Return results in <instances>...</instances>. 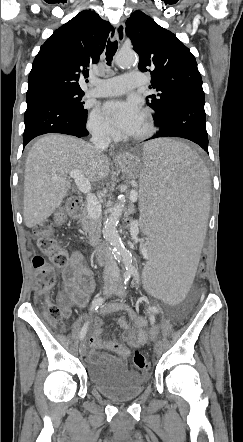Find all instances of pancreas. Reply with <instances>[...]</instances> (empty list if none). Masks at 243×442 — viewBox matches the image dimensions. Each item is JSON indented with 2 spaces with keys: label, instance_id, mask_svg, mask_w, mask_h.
Returning a JSON list of instances; mask_svg holds the SVG:
<instances>
[{
  "label": "pancreas",
  "instance_id": "obj_1",
  "mask_svg": "<svg viewBox=\"0 0 243 442\" xmlns=\"http://www.w3.org/2000/svg\"><path fill=\"white\" fill-rule=\"evenodd\" d=\"M80 223L82 225V229L88 234L91 244L95 245L96 235L98 234L101 226L100 219L92 218L88 213L87 206H85L80 215Z\"/></svg>",
  "mask_w": 243,
  "mask_h": 442
}]
</instances>
